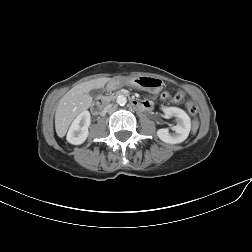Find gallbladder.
Instances as JSON below:
<instances>
[{
    "label": "gallbladder",
    "mask_w": 252,
    "mask_h": 252,
    "mask_svg": "<svg viewBox=\"0 0 252 252\" xmlns=\"http://www.w3.org/2000/svg\"><path fill=\"white\" fill-rule=\"evenodd\" d=\"M102 92H103V89H94V90H91L90 92H89V94L92 96V97H97V96H99L100 94H102Z\"/></svg>",
    "instance_id": "1"
}]
</instances>
